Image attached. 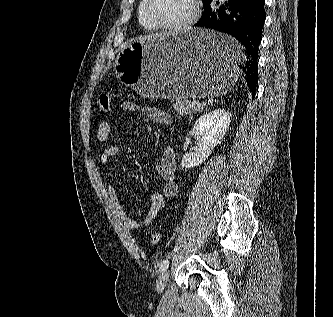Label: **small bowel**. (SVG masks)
I'll return each mask as SVG.
<instances>
[{
  "label": "small bowel",
  "mask_w": 333,
  "mask_h": 317,
  "mask_svg": "<svg viewBox=\"0 0 333 317\" xmlns=\"http://www.w3.org/2000/svg\"><path fill=\"white\" fill-rule=\"evenodd\" d=\"M121 109L125 112H134L139 109V106L133 101H124L121 104ZM144 114L152 121L169 125L171 119L169 115L163 110L154 107L146 106L143 108ZM112 130V122L109 119L101 121L97 127L96 137L99 142H107ZM119 154V147L115 144H109L103 150L100 156V161L103 165H108L112 158ZM156 171L163 180L162 191L152 192L149 196V209L147 214L139 219L131 218L124 207L122 206L118 193L115 187L108 183L106 185L107 194L112 202V205L122 223V225L131 230H142L148 228L158 213L164 208L167 199L176 196L178 193V185L175 179L176 172V158L172 148H167L156 166Z\"/></svg>",
  "instance_id": "obj_1"
}]
</instances>
